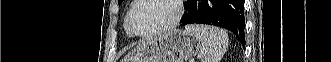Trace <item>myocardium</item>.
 Here are the masks:
<instances>
[{
	"instance_id": "1",
	"label": "myocardium",
	"mask_w": 331,
	"mask_h": 62,
	"mask_svg": "<svg viewBox=\"0 0 331 62\" xmlns=\"http://www.w3.org/2000/svg\"><path fill=\"white\" fill-rule=\"evenodd\" d=\"M141 1H143V0L133 1L132 5H131V8L129 9L128 14H127V25H128V28H129L131 34L134 35V36L141 37V38H149V37L159 35L161 33H164L166 31L174 28L182 18V15H183L182 1H180V0H171L174 3L175 8H176V14H175L174 18L170 22H168L166 25H164V26H162V27H160L156 30L141 33V32L136 30V28L133 24V12L136 9V7L140 4Z\"/></svg>"
}]
</instances>
